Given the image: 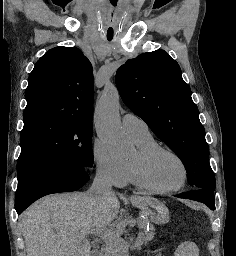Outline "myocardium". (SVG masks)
<instances>
[{
    "instance_id": "myocardium-1",
    "label": "myocardium",
    "mask_w": 236,
    "mask_h": 256,
    "mask_svg": "<svg viewBox=\"0 0 236 256\" xmlns=\"http://www.w3.org/2000/svg\"><path fill=\"white\" fill-rule=\"evenodd\" d=\"M160 153H167L174 156L183 167V172H184L183 179L181 183H179L174 187L157 186L153 182H151L148 176L147 166L150 159ZM130 166H131L133 176L135 178L137 185L151 192L170 193V192L177 191L187 183V180L189 178L188 166L184 161V159L174 150L164 146H160V145H154L147 148L137 149L136 157L133 161H130Z\"/></svg>"
}]
</instances>
